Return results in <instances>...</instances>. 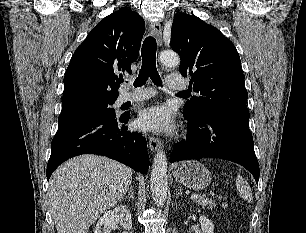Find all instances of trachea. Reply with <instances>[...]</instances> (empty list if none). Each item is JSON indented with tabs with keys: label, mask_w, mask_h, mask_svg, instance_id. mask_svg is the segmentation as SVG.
Wrapping results in <instances>:
<instances>
[{
	"label": "trachea",
	"mask_w": 306,
	"mask_h": 233,
	"mask_svg": "<svg viewBox=\"0 0 306 233\" xmlns=\"http://www.w3.org/2000/svg\"><path fill=\"white\" fill-rule=\"evenodd\" d=\"M156 48L157 45L155 38L152 36L146 37L141 50L142 67L134 82L135 87L144 85L149 77L155 85H162L161 78L156 68ZM120 82H123V79H121ZM180 93L185 94V92Z\"/></svg>",
	"instance_id": "trachea-1"
}]
</instances>
